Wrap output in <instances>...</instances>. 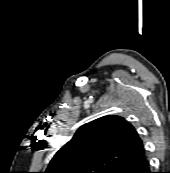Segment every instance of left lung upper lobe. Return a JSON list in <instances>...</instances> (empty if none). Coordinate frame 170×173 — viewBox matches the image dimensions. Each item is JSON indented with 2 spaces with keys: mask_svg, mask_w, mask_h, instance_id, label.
Wrapping results in <instances>:
<instances>
[{
  "mask_svg": "<svg viewBox=\"0 0 170 173\" xmlns=\"http://www.w3.org/2000/svg\"><path fill=\"white\" fill-rule=\"evenodd\" d=\"M143 153L142 140L130 123L120 116H104L81 126L44 173H115Z\"/></svg>",
  "mask_w": 170,
  "mask_h": 173,
  "instance_id": "left-lung-upper-lobe-1",
  "label": "left lung upper lobe"
}]
</instances>
